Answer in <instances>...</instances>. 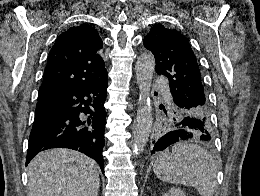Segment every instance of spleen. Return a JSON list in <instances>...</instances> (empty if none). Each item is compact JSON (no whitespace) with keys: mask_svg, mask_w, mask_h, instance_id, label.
<instances>
[{"mask_svg":"<svg viewBox=\"0 0 260 196\" xmlns=\"http://www.w3.org/2000/svg\"><path fill=\"white\" fill-rule=\"evenodd\" d=\"M153 172L162 182L193 186L200 196H214L216 164L209 152L197 144H174L172 152H160Z\"/></svg>","mask_w":260,"mask_h":196,"instance_id":"3e777b00","label":"spleen"}]
</instances>
